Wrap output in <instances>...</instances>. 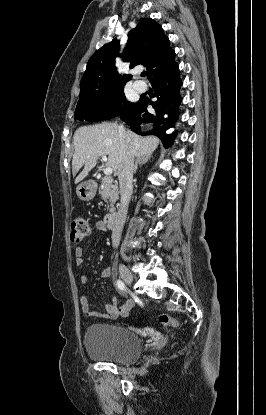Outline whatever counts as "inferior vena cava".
<instances>
[{
	"label": "inferior vena cava",
	"instance_id": "602c4592",
	"mask_svg": "<svg viewBox=\"0 0 266 415\" xmlns=\"http://www.w3.org/2000/svg\"><path fill=\"white\" fill-rule=\"evenodd\" d=\"M121 141L122 155L118 168V179L120 186V204L117 211L115 224L112 230L113 247H118L122 229L126 220L128 205L132 193V179L134 172V155L129 148V139L125 134L123 125L118 127Z\"/></svg>",
	"mask_w": 266,
	"mask_h": 415
}]
</instances>
